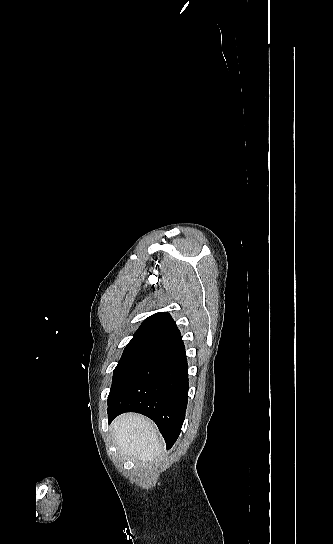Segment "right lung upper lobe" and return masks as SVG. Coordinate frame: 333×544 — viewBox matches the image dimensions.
<instances>
[{"mask_svg": "<svg viewBox=\"0 0 333 544\" xmlns=\"http://www.w3.org/2000/svg\"><path fill=\"white\" fill-rule=\"evenodd\" d=\"M181 336L168 312H159L146 318L127 344L128 348H154Z\"/></svg>", "mask_w": 333, "mask_h": 544, "instance_id": "1", "label": "right lung upper lobe"}]
</instances>
